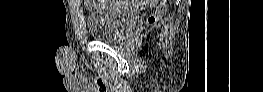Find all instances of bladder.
Wrapping results in <instances>:
<instances>
[{
    "label": "bladder",
    "mask_w": 263,
    "mask_h": 92,
    "mask_svg": "<svg viewBox=\"0 0 263 92\" xmlns=\"http://www.w3.org/2000/svg\"><path fill=\"white\" fill-rule=\"evenodd\" d=\"M112 1H104L89 15V32L93 39L105 42H117L133 27L137 12L130 8H115Z\"/></svg>",
    "instance_id": "1"
}]
</instances>
